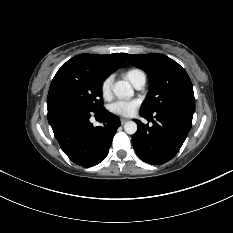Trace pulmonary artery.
<instances>
[{"label":"pulmonary artery","instance_id":"1","mask_svg":"<svg viewBox=\"0 0 233 233\" xmlns=\"http://www.w3.org/2000/svg\"><path fill=\"white\" fill-rule=\"evenodd\" d=\"M145 82H146V78L140 80V81L135 85V88H136V89H139V90L142 89V88L144 87V85H145Z\"/></svg>","mask_w":233,"mask_h":233}]
</instances>
